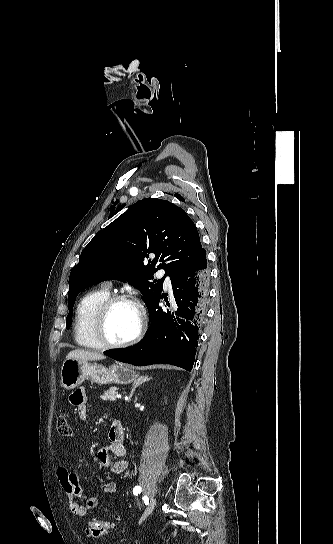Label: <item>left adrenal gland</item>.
I'll return each instance as SVG.
<instances>
[{
    "mask_svg": "<svg viewBox=\"0 0 333 544\" xmlns=\"http://www.w3.org/2000/svg\"><path fill=\"white\" fill-rule=\"evenodd\" d=\"M150 378H148L147 376L146 377H141V378H138L137 380L134 381V384H133V388L130 392V395H129V398H128V401L131 400L132 396H133V393L135 391V389L140 386L141 384H143L144 382H147L149 381Z\"/></svg>",
    "mask_w": 333,
    "mask_h": 544,
    "instance_id": "1",
    "label": "left adrenal gland"
}]
</instances>
